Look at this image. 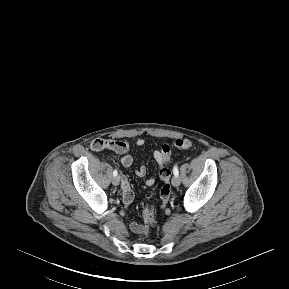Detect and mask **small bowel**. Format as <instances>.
I'll use <instances>...</instances> for the list:
<instances>
[{"label": "small bowel", "mask_w": 289, "mask_h": 289, "mask_svg": "<svg viewBox=\"0 0 289 289\" xmlns=\"http://www.w3.org/2000/svg\"><path fill=\"white\" fill-rule=\"evenodd\" d=\"M145 144L144 139H138L135 142V146L141 147ZM91 148L93 150L99 151V150H108L111 152L112 156L119 160L120 163L126 167L129 168L133 164V158L130 155V150H131V145L129 142L120 140V139H114V138H97L91 143ZM153 157L155 161L158 163V172L160 174L159 179L161 181H164L162 189H160L159 194L161 196V202L162 203H167L168 200H170L171 195V182L170 178L172 176V172L170 169H168L165 165H162V160L160 156V150H155L153 152ZM137 175L140 177L145 176L146 174V166L141 165L137 171ZM156 183V178L152 177L147 180V185L148 186H153ZM122 190H123V203L128 206L131 204V202L134 199V193L131 189L129 180L126 176H122ZM159 211L161 213H164L166 211V208L164 206H161L159 208ZM129 228L133 233L136 234H145L146 233V228L143 225H140L134 221H131L129 223Z\"/></svg>", "instance_id": "1"}]
</instances>
